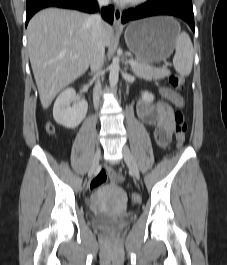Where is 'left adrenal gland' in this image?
<instances>
[{
    "label": "left adrenal gland",
    "mask_w": 227,
    "mask_h": 265,
    "mask_svg": "<svg viewBox=\"0 0 227 265\" xmlns=\"http://www.w3.org/2000/svg\"><path fill=\"white\" fill-rule=\"evenodd\" d=\"M125 66H126V68H128V66H127V59H126V61H125Z\"/></svg>",
    "instance_id": "left-adrenal-gland-1"
}]
</instances>
